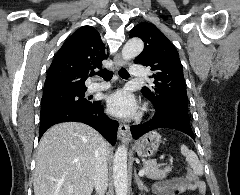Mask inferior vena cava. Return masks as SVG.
<instances>
[{"instance_id":"inferior-vena-cava-1","label":"inferior vena cava","mask_w":240,"mask_h":195,"mask_svg":"<svg viewBox=\"0 0 240 195\" xmlns=\"http://www.w3.org/2000/svg\"><path fill=\"white\" fill-rule=\"evenodd\" d=\"M95 167L96 171L94 175V187L97 191V195H105L108 185V161L107 145L104 139L100 147H98Z\"/></svg>"}]
</instances>
